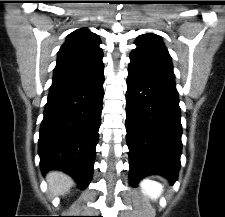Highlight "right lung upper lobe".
<instances>
[{"mask_svg": "<svg viewBox=\"0 0 225 217\" xmlns=\"http://www.w3.org/2000/svg\"><path fill=\"white\" fill-rule=\"evenodd\" d=\"M99 37L87 28L70 33L58 52L50 90L85 85L103 77Z\"/></svg>", "mask_w": 225, "mask_h": 217, "instance_id": "1", "label": "right lung upper lobe"}]
</instances>
